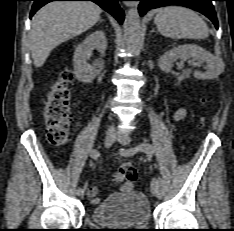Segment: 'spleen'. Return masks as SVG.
Wrapping results in <instances>:
<instances>
[{"mask_svg": "<svg viewBox=\"0 0 234 231\" xmlns=\"http://www.w3.org/2000/svg\"><path fill=\"white\" fill-rule=\"evenodd\" d=\"M154 23L163 36L172 39H205L209 35L205 21L185 7L168 6L160 9Z\"/></svg>", "mask_w": 234, "mask_h": 231, "instance_id": "obj_1", "label": "spleen"}]
</instances>
